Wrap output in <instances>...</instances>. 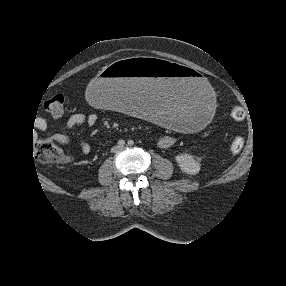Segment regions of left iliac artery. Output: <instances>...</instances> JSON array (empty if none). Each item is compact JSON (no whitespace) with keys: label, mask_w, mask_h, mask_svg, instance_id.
I'll use <instances>...</instances> for the list:
<instances>
[{"label":"left iliac artery","mask_w":286,"mask_h":286,"mask_svg":"<svg viewBox=\"0 0 286 286\" xmlns=\"http://www.w3.org/2000/svg\"><path fill=\"white\" fill-rule=\"evenodd\" d=\"M134 144L133 140L128 141V145L132 146Z\"/></svg>","instance_id":"obj_1"}]
</instances>
